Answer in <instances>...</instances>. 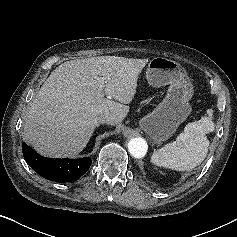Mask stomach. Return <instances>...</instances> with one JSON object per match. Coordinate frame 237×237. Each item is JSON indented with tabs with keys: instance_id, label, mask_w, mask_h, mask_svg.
<instances>
[{
	"instance_id": "stomach-1",
	"label": "stomach",
	"mask_w": 237,
	"mask_h": 237,
	"mask_svg": "<svg viewBox=\"0 0 237 237\" xmlns=\"http://www.w3.org/2000/svg\"><path fill=\"white\" fill-rule=\"evenodd\" d=\"M146 79L156 88L169 86L162 102L140 120V127L159 144L169 139L190 115L193 85L179 63L163 57L150 60Z\"/></svg>"
}]
</instances>
